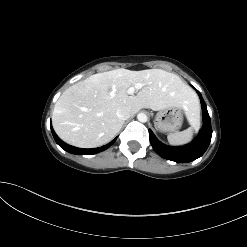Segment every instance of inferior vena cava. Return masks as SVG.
<instances>
[{
	"label": "inferior vena cava",
	"mask_w": 247,
	"mask_h": 247,
	"mask_svg": "<svg viewBox=\"0 0 247 247\" xmlns=\"http://www.w3.org/2000/svg\"><path fill=\"white\" fill-rule=\"evenodd\" d=\"M116 115L121 120H127L131 116L130 109L126 106L119 107L116 111Z\"/></svg>",
	"instance_id": "inferior-vena-cava-1"
}]
</instances>
